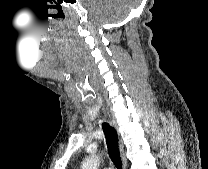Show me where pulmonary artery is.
<instances>
[{
  "label": "pulmonary artery",
  "instance_id": "1",
  "mask_svg": "<svg viewBox=\"0 0 208 169\" xmlns=\"http://www.w3.org/2000/svg\"><path fill=\"white\" fill-rule=\"evenodd\" d=\"M104 169H112L111 167H105Z\"/></svg>",
  "mask_w": 208,
  "mask_h": 169
}]
</instances>
